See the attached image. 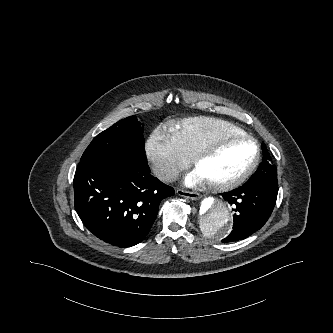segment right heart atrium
<instances>
[{
	"instance_id": "d8ad5b80",
	"label": "right heart atrium",
	"mask_w": 333,
	"mask_h": 333,
	"mask_svg": "<svg viewBox=\"0 0 333 333\" xmlns=\"http://www.w3.org/2000/svg\"><path fill=\"white\" fill-rule=\"evenodd\" d=\"M145 157L154 174L163 181H172L187 168L190 159L180 150L172 135L156 128L145 144Z\"/></svg>"
}]
</instances>
